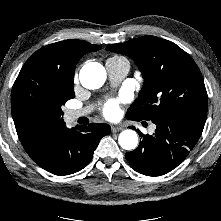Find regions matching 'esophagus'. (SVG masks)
I'll return each mask as SVG.
<instances>
[{
    "instance_id": "1",
    "label": "esophagus",
    "mask_w": 221,
    "mask_h": 221,
    "mask_svg": "<svg viewBox=\"0 0 221 221\" xmlns=\"http://www.w3.org/2000/svg\"><path fill=\"white\" fill-rule=\"evenodd\" d=\"M121 130H123V127H122V126H112V127H111V131H112L113 133H116V132L121 131Z\"/></svg>"
}]
</instances>
